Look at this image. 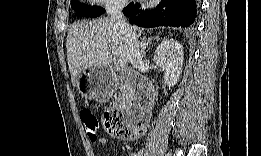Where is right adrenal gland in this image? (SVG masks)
<instances>
[{"instance_id": "obj_1", "label": "right adrenal gland", "mask_w": 261, "mask_h": 156, "mask_svg": "<svg viewBox=\"0 0 261 156\" xmlns=\"http://www.w3.org/2000/svg\"><path fill=\"white\" fill-rule=\"evenodd\" d=\"M160 37L159 36H154V37H149L148 39H146V37H143L142 38V41H141V57L144 58L145 57V50L146 48L148 47L149 43L152 41V40H159Z\"/></svg>"}]
</instances>
